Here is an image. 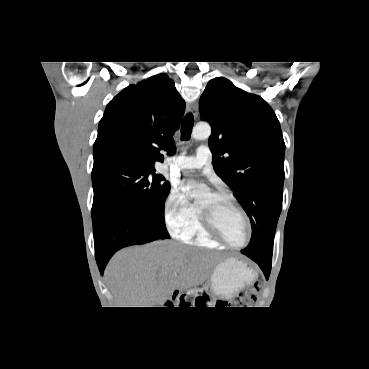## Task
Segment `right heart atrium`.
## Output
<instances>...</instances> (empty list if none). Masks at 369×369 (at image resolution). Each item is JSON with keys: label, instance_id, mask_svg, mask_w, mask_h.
Returning <instances> with one entry per match:
<instances>
[{"label": "right heart atrium", "instance_id": "right-heart-atrium-1", "mask_svg": "<svg viewBox=\"0 0 369 369\" xmlns=\"http://www.w3.org/2000/svg\"><path fill=\"white\" fill-rule=\"evenodd\" d=\"M197 214L198 208L179 188L170 190L164 203V218L172 234L181 236L188 233Z\"/></svg>", "mask_w": 369, "mask_h": 369}]
</instances>
